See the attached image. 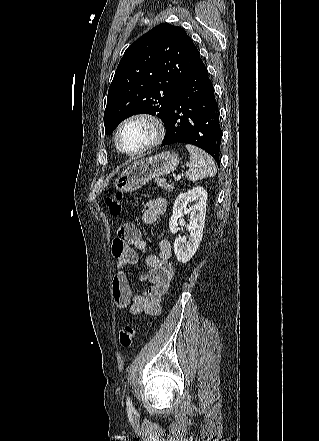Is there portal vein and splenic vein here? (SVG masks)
I'll return each instance as SVG.
<instances>
[{
    "instance_id": "1",
    "label": "portal vein and splenic vein",
    "mask_w": 319,
    "mask_h": 441,
    "mask_svg": "<svg viewBox=\"0 0 319 441\" xmlns=\"http://www.w3.org/2000/svg\"><path fill=\"white\" fill-rule=\"evenodd\" d=\"M174 178L178 181V180H180V178H181V175L180 174H178L177 176H174Z\"/></svg>"
}]
</instances>
